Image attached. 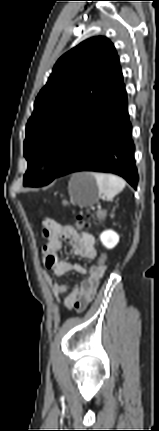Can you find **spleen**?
<instances>
[{"mask_svg": "<svg viewBox=\"0 0 159 431\" xmlns=\"http://www.w3.org/2000/svg\"><path fill=\"white\" fill-rule=\"evenodd\" d=\"M91 174L97 182L99 193L103 194L107 200H112L126 186V182L116 175L104 173Z\"/></svg>", "mask_w": 159, "mask_h": 431, "instance_id": "spleen-1", "label": "spleen"}]
</instances>
